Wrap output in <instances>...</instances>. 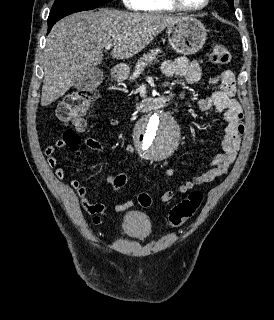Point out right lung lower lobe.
Masks as SVG:
<instances>
[{
  "mask_svg": "<svg viewBox=\"0 0 274 320\" xmlns=\"http://www.w3.org/2000/svg\"><path fill=\"white\" fill-rule=\"evenodd\" d=\"M56 22H52V23H48V32H50L51 28L53 27V25L55 24Z\"/></svg>",
  "mask_w": 274,
  "mask_h": 320,
  "instance_id": "right-lung-lower-lobe-1",
  "label": "right lung lower lobe"
}]
</instances>
